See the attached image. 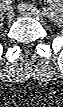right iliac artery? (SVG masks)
<instances>
[{
  "label": "right iliac artery",
  "mask_w": 63,
  "mask_h": 107,
  "mask_svg": "<svg viewBox=\"0 0 63 107\" xmlns=\"http://www.w3.org/2000/svg\"><path fill=\"white\" fill-rule=\"evenodd\" d=\"M5 2H6V5H7V7H8V9L10 8V3H11V1H9V0H5Z\"/></svg>",
  "instance_id": "right-iliac-artery-1"
}]
</instances>
